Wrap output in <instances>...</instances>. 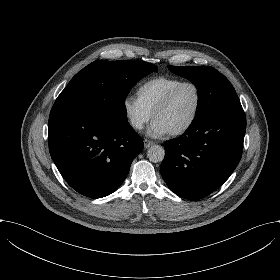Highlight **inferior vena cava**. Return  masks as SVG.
<instances>
[{"label":"inferior vena cava","mask_w":280,"mask_h":280,"mask_svg":"<svg viewBox=\"0 0 280 280\" xmlns=\"http://www.w3.org/2000/svg\"><path fill=\"white\" fill-rule=\"evenodd\" d=\"M131 124L134 128L141 129L142 128V121L137 118L131 119Z\"/></svg>","instance_id":"obj_1"}]
</instances>
